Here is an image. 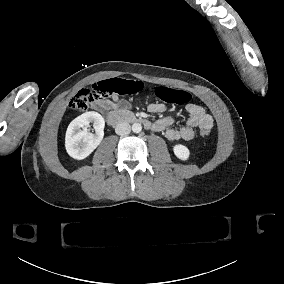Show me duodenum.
I'll list each match as a JSON object with an SVG mask.
<instances>
[{
  "mask_svg": "<svg viewBox=\"0 0 284 284\" xmlns=\"http://www.w3.org/2000/svg\"><path fill=\"white\" fill-rule=\"evenodd\" d=\"M106 120L110 125H119L122 123H139L149 127V122L141 117L135 116L128 112L111 111L106 114Z\"/></svg>",
  "mask_w": 284,
  "mask_h": 284,
  "instance_id": "410a0bca",
  "label": "duodenum"
}]
</instances>
